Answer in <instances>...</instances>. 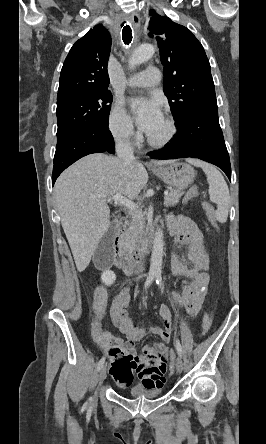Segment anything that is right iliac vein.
<instances>
[{
	"instance_id": "1",
	"label": "right iliac vein",
	"mask_w": 266,
	"mask_h": 444,
	"mask_svg": "<svg viewBox=\"0 0 266 444\" xmlns=\"http://www.w3.org/2000/svg\"><path fill=\"white\" fill-rule=\"evenodd\" d=\"M106 378V366H103L98 374L96 394Z\"/></svg>"
}]
</instances>
